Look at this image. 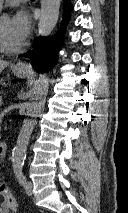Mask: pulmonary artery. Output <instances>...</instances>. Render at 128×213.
<instances>
[{
	"label": "pulmonary artery",
	"instance_id": "obj_1",
	"mask_svg": "<svg viewBox=\"0 0 128 213\" xmlns=\"http://www.w3.org/2000/svg\"><path fill=\"white\" fill-rule=\"evenodd\" d=\"M2 3H3V0H0V9H1V7H2Z\"/></svg>",
	"mask_w": 128,
	"mask_h": 213
}]
</instances>
